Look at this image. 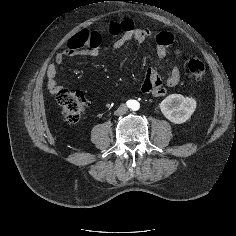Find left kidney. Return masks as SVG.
<instances>
[{"label": "left kidney", "mask_w": 236, "mask_h": 236, "mask_svg": "<svg viewBox=\"0 0 236 236\" xmlns=\"http://www.w3.org/2000/svg\"><path fill=\"white\" fill-rule=\"evenodd\" d=\"M194 98L181 94H171L160 103L162 114L171 122L181 124L186 122L196 109Z\"/></svg>", "instance_id": "1"}]
</instances>
